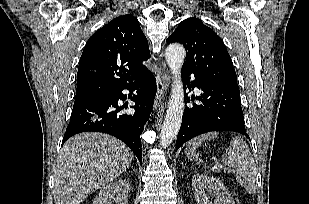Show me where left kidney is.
Here are the masks:
<instances>
[{
  "mask_svg": "<svg viewBox=\"0 0 309 204\" xmlns=\"http://www.w3.org/2000/svg\"><path fill=\"white\" fill-rule=\"evenodd\" d=\"M192 187L197 204H212L204 192L208 187L214 192V204H235L234 199L225 185L215 177H209L204 174H194L192 178Z\"/></svg>",
  "mask_w": 309,
  "mask_h": 204,
  "instance_id": "obj_1",
  "label": "left kidney"
}]
</instances>
